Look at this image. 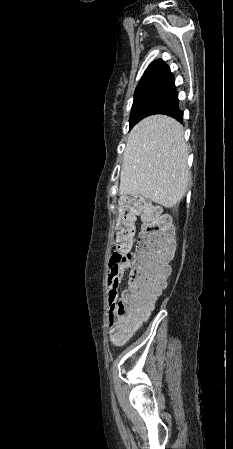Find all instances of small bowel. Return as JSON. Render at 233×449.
I'll list each match as a JSON object with an SVG mask.
<instances>
[{
  "instance_id": "small-bowel-1",
  "label": "small bowel",
  "mask_w": 233,
  "mask_h": 449,
  "mask_svg": "<svg viewBox=\"0 0 233 449\" xmlns=\"http://www.w3.org/2000/svg\"><path fill=\"white\" fill-rule=\"evenodd\" d=\"M130 267V262L114 264L110 268V272L107 277L108 286V301L111 310L115 309L119 300V288L125 271ZM113 340L115 337L113 336Z\"/></svg>"
}]
</instances>
